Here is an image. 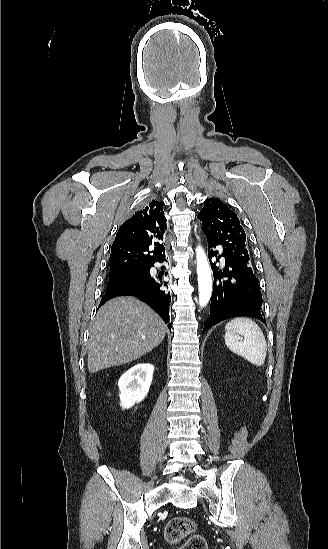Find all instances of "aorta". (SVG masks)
<instances>
[{
  "label": "aorta",
  "mask_w": 328,
  "mask_h": 549,
  "mask_svg": "<svg viewBox=\"0 0 328 549\" xmlns=\"http://www.w3.org/2000/svg\"><path fill=\"white\" fill-rule=\"evenodd\" d=\"M196 263L198 275L199 304L204 307L212 295V275L210 266L203 248L196 247Z\"/></svg>",
  "instance_id": "1"
}]
</instances>
